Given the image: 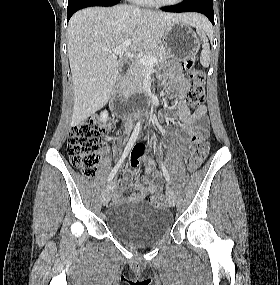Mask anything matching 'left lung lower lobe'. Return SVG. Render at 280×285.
<instances>
[{"label": "left lung lower lobe", "mask_w": 280, "mask_h": 285, "mask_svg": "<svg viewBox=\"0 0 280 285\" xmlns=\"http://www.w3.org/2000/svg\"><path fill=\"white\" fill-rule=\"evenodd\" d=\"M167 12H199L208 17L214 25L213 0H183L182 3L162 8Z\"/></svg>", "instance_id": "obj_1"}]
</instances>
